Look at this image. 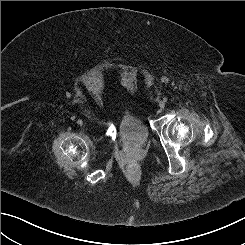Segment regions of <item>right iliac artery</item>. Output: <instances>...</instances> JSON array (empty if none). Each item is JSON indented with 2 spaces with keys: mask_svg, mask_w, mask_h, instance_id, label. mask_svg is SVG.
Instances as JSON below:
<instances>
[{
  "mask_svg": "<svg viewBox=\"0 0 245 245\" xmlns=\"http://www.w3.org/2000/svg\"><path fill=\"white\" fill-rule=\"evenodd\" d=\"M75 118H76L75 116H71V120H73V121H74V120H75Z\"/></svg>",
  "mask_w": 245,
  "mask_h": 245,
  "instance_id": "1",
  "label": "right iliac artery"
}]
</instances>
